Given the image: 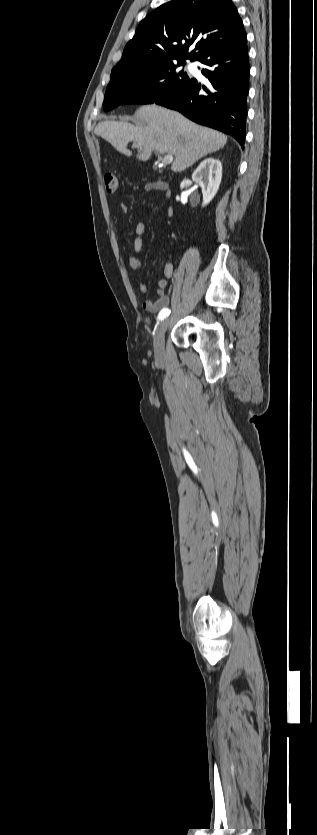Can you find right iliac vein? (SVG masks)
Wrapping results in <instances>:
<instances>
[{
  "instance_id": "63e3f726",
  "label": "right iliac vein",
  "mask_w": 317,
  "mask_h": 835,
  "mask_svg": "<svg viewBox=\"0 0 317 835\" xmlns=\"http://www.w3.org/2000/svg\"><path fill=\"white\" fill-rule=\"evenodd\" d=\"M169 322H170L169 318H165L164 320H162L159 323V325L156 329V334H155V339H154V346H155L156 353L158 355H161L163 353L164 337H165L166 330L169 326Z\"/></svg>"
}]
</instances>
